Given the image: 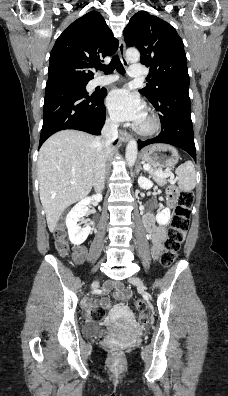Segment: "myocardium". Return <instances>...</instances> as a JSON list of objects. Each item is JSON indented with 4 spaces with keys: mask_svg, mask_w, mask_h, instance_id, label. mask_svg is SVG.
<instances>
[{
    "mask_svg": "<svg viewBox=\"0 0 228 396\" xmlns=\"http://www.w3.org/2000/svg\"><path fill=\"white\" fill-rule=\"evenodd\" d=\"M147 124L142 125L140 124L136 131L138 134L142 136H151L157 133L161 128V123L158 116L154 113H147L146 114Z\"/></svg>",
    "mask_w": 228,
    "mask_h": 396,
    "instance_id": "obj_1",
    "label": "myocardium"
}]
</instances>
